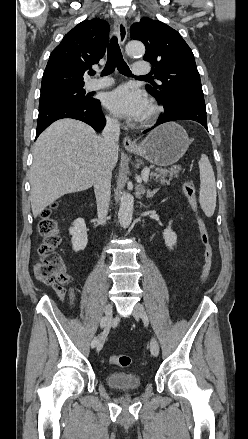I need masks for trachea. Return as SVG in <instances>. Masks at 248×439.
<instances>
[{"label":"trachea","instance_id":"3493384b","mask_svg":"<svg viewBox=\"0 0 248 439\" xmlns=\"http://www.w3.org/2000/svg\"><path fill=\"white\" fill-rule=\"evenodd\" d=\"M115 68H117L118 71L125 76H129V77L133 76L128 65L123 60L117 38L113 37L108 47L107 62L102 71V76L111 74ZM89 74L94 75L95 72L91 71ZM142 77H147V76H142Z\"/></svg>","mask_w":248,"mask_h":439}]
</instances>
